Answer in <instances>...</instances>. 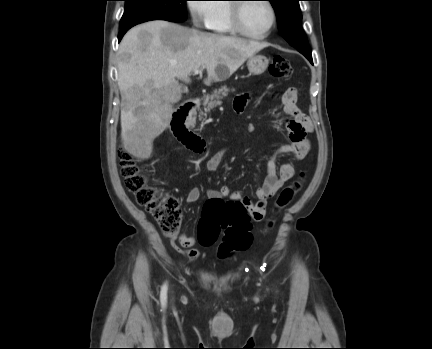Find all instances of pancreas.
<instances>
[{
    "instance_id": "cf45deb5",
    "label": "pancreas",
    "mask_w": 432,
    "mask_h": 349,
    "mask_svg": "<svg viewBox=\"0 0 432 349\" xmlns=\"http://www.w3.org/2000/svg\"><path fill=\"white\" fill-rule=\"evenodd\" d=\"M229 91V88H227L226 86H222L221 88L214 90L211 95H205L203 98L204 108L203 110L200 108L198 109L199 119L201 120L203 117H206L207 113H209L218 105H221V100L228 95ZM232 91H234V89H232Z\"/></svg>"
}]
</instances>
